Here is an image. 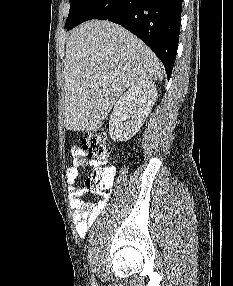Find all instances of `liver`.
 <instances>
[{
  "mask_svg": "<svg viewBox=\"0 0 233 286\" xmlns=\"http://www.w3.org/2000/svg\"><path fill=\"white\" fill-rule=\"evenodd\" d=\"M162 65L135 35L110 21L74 29L64 61L65 127L96 131L122 93L142 80H162Z\"/></svg>",
  "mask_w": 233,
  "mask_h": 286,
  "instance_id": "liver-1",
  "label": "liver"
}]
</instances>
